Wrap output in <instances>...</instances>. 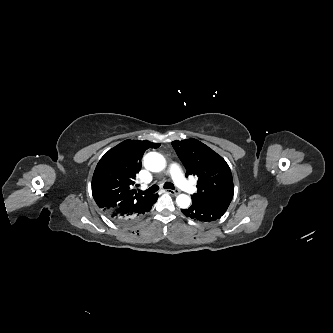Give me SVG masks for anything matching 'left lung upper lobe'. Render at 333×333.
Here are the masks:
<instances>
[{
    "label": "left lung upper lobe",
    "mask_w": 333,
    "mask_h": 333,
    "mask_svg": "<svg viewBox=\"0 0 333 333\" xmlns=\"http://www.w3.org/2000/svg\"><path fill=\"white\" fill-rule=\"evenodd\" d=\"M172 145L187 169L186 176L198 177V192L192 199L228 207L234 188L226 161L196 139L176 140Z\"/></svg>",
    "instance_id": "left-lung-upper-lobe-1"
}]
</instances>
